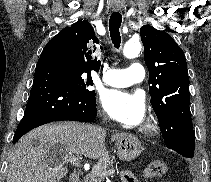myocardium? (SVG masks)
Wrapping results in <instances>:
<instances>
[{"label":"myocardium","instance_id":"1","mask_svg":"<svg viewBox=\"0 0 211 182\" xmlns=\"http://www.w3.org/2000/svg\"><path fill=\"white\" fill-rule=\"evenodd\" d=\"M156 126V120L153 116H148V118L145 120L144 124L140 127L139 131L141 133L148 134L153 131V129Z\"/></svg>","mask_w":211,"mask_h":182}]
</instances>
